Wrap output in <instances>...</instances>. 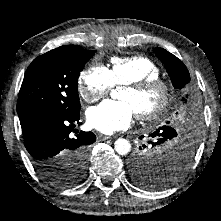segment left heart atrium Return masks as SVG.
<instances>
[{"instance_id":"1","label":"left heart atrium","mask_w":221,"mask_h":221,"mask_svg":"<svg viewBox=\"0 0 221 221\" xmlns=\"http://www.w3.org/2000/svg\"><path fill=\"white\" fill-rule=\"evenodd\" d=\"M131 105L124 101L105 100L87 111L88 123L98 131L112 134L128 128L134 117Z\"/></svg>"}]
</instances>
